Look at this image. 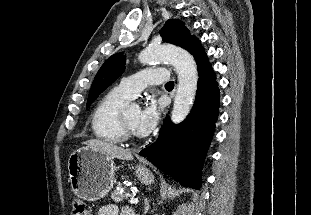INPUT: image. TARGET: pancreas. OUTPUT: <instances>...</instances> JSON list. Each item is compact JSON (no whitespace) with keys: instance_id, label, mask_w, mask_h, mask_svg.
Returning <instances> with one entry per match:
<instances>
[{"instance_id":"cf45deb5","label":"pancreas","mask_w":311,"mask_h":215,"mask_svg":"<svg viewBox=\"0 0 311 215\" xmlns=\"http://www.w3.org/2000/svg\"><path fill=\"white\" fill-rule=\"evenodd\" d=\"M125 189V187L122 184H118L117 189H115L113 192H111V198L115 201V202H123L127 197H128V193L124 192L121 193L120 190Z\"/></svg>"}]
</instances>
